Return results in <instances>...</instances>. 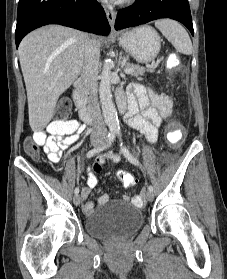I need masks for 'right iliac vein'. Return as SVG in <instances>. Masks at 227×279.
<instances>
[{"label": "right iliac vein", "instance_id": "1", "mask_svg": "<svg viewBox=\"0 0 227 279\" xmlns=\"http://www.w3.org/2000/svg\"><path fill=\"white\" fill-rule=\"evenodd\" d=\"M102 142H103V139L102 138H98V139H95V140L92 141V145L94 147H98V146H100L102 144ZM73 202H74L75 205H80V203H81L80 196L75 195L74 198H73Z\"/></svg>", "mask_w": 227, "mask_h": 279}]
</instances>
